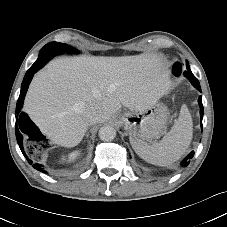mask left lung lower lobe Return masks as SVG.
<instances>
[{"label":"left lung lower lobe","mask_w":227,"mask_h":227,"mask_svg":"<svg viewBox=\"0 0 227 227\" xmlns=\"http://www.w3.org/2000/svg\"><path fill=\"white\" fill-rule=\"evenodd\" d=\"M199 91H201L200 85L195 86ZM199 102V106H200V116H201V126H202V118H203V104H202V97L200 96L198 99ZM202 128V127H201ZM194 155V151H192L188 157H186L183 161H182V166H187L189 164L190 161H188L189 159H191Z\"/></svg>","instance_id":"obj_1"}]
</instances>
